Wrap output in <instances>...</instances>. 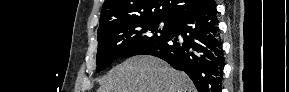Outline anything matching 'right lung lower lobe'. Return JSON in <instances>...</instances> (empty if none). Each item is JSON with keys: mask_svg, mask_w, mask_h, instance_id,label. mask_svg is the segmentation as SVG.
<instances>
[{"mask_svg": "<svg viewBox=\"0 0 289 92\" xmlns=\"http://www.w3.org/2000/svg\"><path fill=\"white\" fill-rule=\"evenodd\" d=\"M172 31L162 41L141 50L184 71L198 92H220L224 57L216 3L171 21Z\"/></svg>", "mask_w": 289, "mask_h": 92, "instance_id": "obj_1", "label": "right lung lower lobe"}]
</instances>
